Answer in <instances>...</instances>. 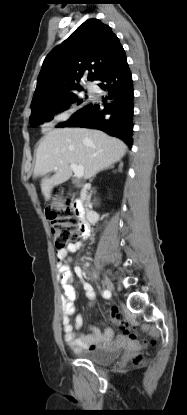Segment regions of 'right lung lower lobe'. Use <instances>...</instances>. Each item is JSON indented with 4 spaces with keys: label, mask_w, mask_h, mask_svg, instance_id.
Returning a JSON list of instances; mask_svg holds the SVG:
<instances>
[{
    "label": "right lung lower lobe",
    "mask_w": 187,
    "mask_h": 415,
    "mask_svg": "<svg viewBox=\"0 0 187 415\" xmlns=\"http://www.w3.org/2000/svg\"><path fill=\"white\" fill-rule=\"evenodd\" d=\"M108 92L104 108L90 103L78 110L69 121L57 127H84L102 130L132 146L133 85L125 51L95 79Z\"/></svg>",
    "instance_id": "1"
}]
</instances>
